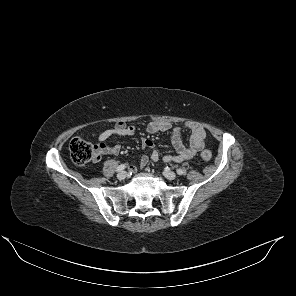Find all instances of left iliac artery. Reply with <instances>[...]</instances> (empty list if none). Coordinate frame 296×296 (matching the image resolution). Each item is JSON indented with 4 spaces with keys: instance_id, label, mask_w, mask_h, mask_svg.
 I'll list each match as a JSON object with an SVG mask.
<instances>
[{
    "instance_id": "left-iliac-artery-1",
    "label": "left iliac artery",
    "mask_w": 296,
    "mask_h": 296,
    "mask_svg": "<svg viewBox=\"0 0 296 296\" xmlns=\"http://www.w3.org/2000/svg\"><path fill=\"white\" fill-rule=\"evenodd\" d=\"M176 172H177L178 175H183L184 174V171L182 169H177Z\"/></svg>"
}]
</instances>
